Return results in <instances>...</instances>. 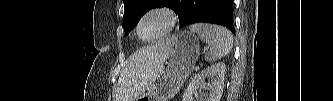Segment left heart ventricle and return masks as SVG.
<instances>
[{"label":"left heart ventricle","mask_w":333,"mask_h":101,"mask_svg":"<svg viewBox=\"0 0 333 101\" xmlns=\"http://www.w3.org/2000/svg\"><path fill=\"white\" fill-rule=\"evenodd\" d=\"M167 25V19L160 15H152L146 18L140 28L143 38H151L162 32Z\"/></svg>","instance_id":"b2bd125f"}]
</instances>
